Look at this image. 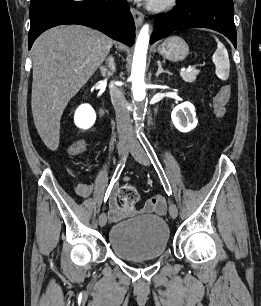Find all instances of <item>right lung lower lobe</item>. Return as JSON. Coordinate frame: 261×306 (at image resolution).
Listing matches in <instances>:
<instances>
[{
	"mask_svg": "<svg viewBox=\"0 0 261 306\" xmlns=\"http://www.w3.org/2000/svg\"><path fill=\"white\" fill-rule=\"evenodd\" d=\"M29 49L36 38L52 27L79 24L133 45L135 24L126 0H31Z\"/></svg>",
	"mask_w": 261,
	"mask_h": 306,
	"instance_id": "98d812e1",
	"label": "right lung lower lobe"
}]
</instances>
